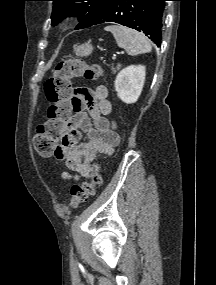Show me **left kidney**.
Here are the masks:
<instances>
[{"mask_svg":"<svg viewBox=\"0 0 216 285\" xmlns=\"http://www.w3.org/2000/svg\"><path fill=\"white\" fill-rule=\"evenodd\" d=\"M145 72V66L131 65L118 73L115 90L124 103L132 104L138 100L144 86Z\"/></svg>","mask_w":216,"mask_h":285,"instance_id":"obj_1","label":"left kidney"}]
</instances>
